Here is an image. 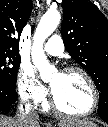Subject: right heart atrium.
Returning <instances> with one entry per match:
<instances>
[{"label": "right heart atrium", "mask_w": 108, "mask_h": 127, "mask_svg": "<svg viewBox=\"0 0 108 127\" xmlns=\"http://www.w3.org/2000/svg\"><path fill=\"white\" fill-rule=\"evenodd\" d=\"M16 85L21 99L29 103H43L47 96L46 88L39 82L33 70L28 66H21L19 69Z\"/></svg>", "instance_id": "obj_1"}]
</instances>
